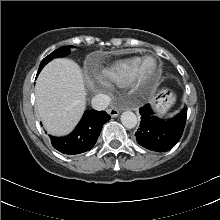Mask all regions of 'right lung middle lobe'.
Wrapping results in <instances>:
<instances>
[{
	"instance_id": "1",
	"label": "right lung middle lobe",
	"mask_w": 220,
	"mask_h": 220,
	"mask_svg": "<svg viewBox=\"0 0 220 220\" xmlns=\"http://www.w3.org/2000/svg\"><path fill=\"white\" fill-rule=\"evenodd\" d=\"M72 46H65V47H61L57 50H55L54 52H52L51 54H49L47 57H45L39 67V71H41V69L48 63L50 62L53 58H58L60 56H66L70 53V48Z\"/></svg>"
}]
</instances>
